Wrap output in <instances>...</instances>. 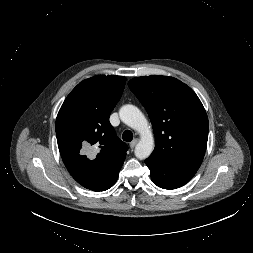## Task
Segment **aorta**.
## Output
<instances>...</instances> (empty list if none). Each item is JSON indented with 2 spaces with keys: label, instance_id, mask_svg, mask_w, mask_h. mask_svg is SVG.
Listing matches in <instances>:
<instances>
[{
  "label": "aorta",
  "instance_id": "762f6f07",
  "mask_svg": "<svg viewBox=\"0 0 253 253\" xmlns=\"http://www.w3.org/2000/svg\"><path fill=\"white\" fill-rule=\"evenodd\" d=\"M119 116L123 123L141 136L135 147V156L140 160L148 158L154 149V138L144 114L136 106L127 104L120 108Z\"/></svg>",
  "mask_w": 253,
  "mask_h": 253
}]
</instances>
